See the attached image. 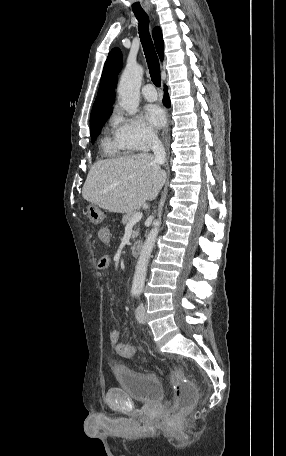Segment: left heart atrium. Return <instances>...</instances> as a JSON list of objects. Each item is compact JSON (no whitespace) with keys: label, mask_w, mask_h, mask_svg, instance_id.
<instances>
[{"label":"left heart atrium","mask_w":286,"mask_h":456,"mask_svg":"<svg viewBox=\"0 0 286 456\" xmlns=\"http://www.w3.org/2000/svg\"><path fill=\"white\" fill-rule=\"evenodd\" d=\"M145 117L149 124L155 128H160L165 123V113L157 105H148L145 108Z\"/></svg>","instance_id":"obj_1"}]
</instances>
